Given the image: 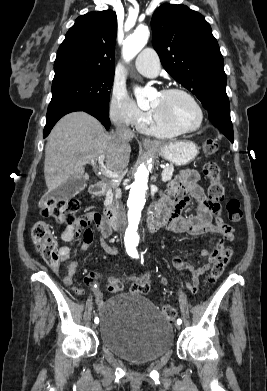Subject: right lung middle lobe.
Instances as JSON below:
<instances>
[{"instance_id":"1","label":"right lung middle lobe","mask_w":267,"mask_h":391,"mask_svg":"<svg viewBox=\"0 0 267 391\" xmlns=\"http://www.w3.org/2000/svg\"><path fill=\"white\" fill-rule=\"evenodd\" d=\"M114 73L68 72L54 76L48 111L68 103L94 106L109 112Z\"/></svg>"}]
</instances>
